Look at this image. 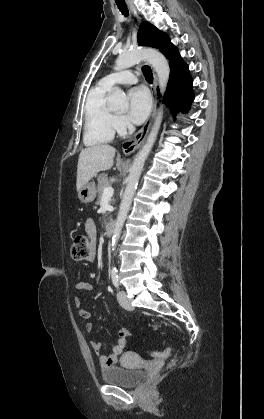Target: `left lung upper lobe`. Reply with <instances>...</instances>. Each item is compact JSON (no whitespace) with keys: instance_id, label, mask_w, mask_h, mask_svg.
Returning <instances> with one entry per match:
<instances>
[{"instance_id":"5c2ea615","label":"left lung upper lobe","mask_w":264,"mask_h":419,"mask_svg":"<svg viewBox=\"0 0 264 419\" xmlns=\"http://www.w3.org/2000/svg\"><path fill=\"white\" fill-rule=\"evenodd\" d=\"M138 44L146 45L160 49L163 53L169 52L174 46L168 37V35L149 22H142L137 35Z\"/></svg>"}]
</instances>
